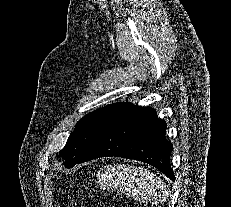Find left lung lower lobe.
Masks as SVG:
<instances>
[{"label": "left lung lower lobe", "mask_w": 231, "mask_h": 207, "mask_svg": "<svg viewBox=\"0 0 231 207\" xmlns=\"http://www.w3.org/2000/svg\"><path fill=\"white\" fill-rule=\"evenodd\" d=\"M165 133L166 123L154 109L124 103L106 120L78 163L106 156L130 158L151 164L174 180L173 146Z\"/></svg>", "instance_id": "left-lung-lower-lobe-1"}]
</instances>
